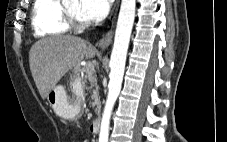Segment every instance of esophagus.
<instances>
[{
	"mask_svg": "<svg viewBox=\"0 0 227 142\" xmlns=\"http://www.w3.org/2000/svg\"><path fill=\"white\" fill-rule=\"evenodd\" d=\"M119 3H120V0H116L115 4H114V6L111 10V13H110V16H109L110 29L108 30V32L105 35L102 36V38L97 43V45L100 48L105 49L112 42Z\"/></svg>",
	"mask_w": 227,
	"mask_h": 142,
	"instance_id": "34e87169",
	"label": "esophagus"
}]
</instances>
